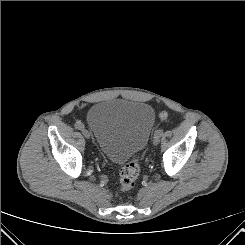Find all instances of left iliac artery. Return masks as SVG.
<instances>
[{
  "instance_id": "44dca946",
  "label": "left iliac artery",
  "mask_w": 245,
  "mask_h": 245,
  "mask_svg": "<svg viewBox=\"0 0 245 245\" xmlns=\"http://www.w3.org/2000/svg\"><path fill=\"white\" fill-rule=\"evenodd\" d=\"M163 134V129H158L155 131V135L162 136Z\"/></svg>"
}]
</instances>
